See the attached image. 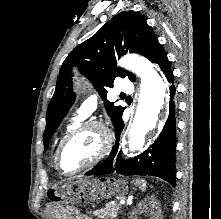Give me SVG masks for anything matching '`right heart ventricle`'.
I'll return each mask as SVG.
<instances>
[{
	"instance_id": "1",
	"label": "right heart ventricle",
	"mask_w": 221,
	"mask_h": 219,
	"mask_svg": "<svg viewBox=\"0 0 221 219\" xmlns=\"http://www.w3.org/2000/svg\"><path fill=\"white\" fill-rule=\"evenodd\" d=\"M85 119V117L81 116V115H76L74 116L71 121L66 125V127L64 128L62 135L60 137L59 140V144L61 143V141L64 139V137L72 130L74 129L76 126H78L83 120ZM58 144V146H59Z\"/></svg>"
}]
</instances>
